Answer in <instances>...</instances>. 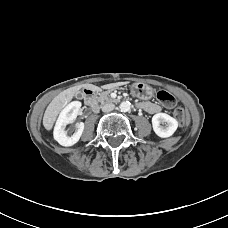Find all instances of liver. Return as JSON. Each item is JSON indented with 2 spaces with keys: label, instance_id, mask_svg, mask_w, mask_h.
I'll use <instances>...</instances> for the list:
<instances>
[{
  "label": "liver",
  "instance_id": "1",
  "mask_svg": "<svg viewBox=\"0 0 228 228\" xmlns=\"http://www.w3.org/2000/svg\"><path fill=\"white\" fill-rule=\"evenodd\" d=\"M119 84H111L108 87H112ZM81 88H86L95 92L101 90V88L92 85V84H84L79 86H74L68 88L61 93H59L47 106L44 116H43V126L46 130L50 131L57 119L60 111L72 100V98L78 94Z\"/></svg>",
  "mask_w": 228,
  "mask_h": 228
}]
</instances>
